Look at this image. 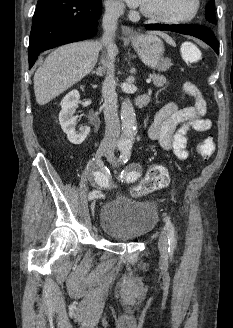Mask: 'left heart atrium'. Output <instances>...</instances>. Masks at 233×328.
I'll use <instances>...</instances> for the list:
<instances>
[{"mask_svg":"<svg viewBox=\"0 0 233 328\" xmlns=\"http://www.w3.org/2000/svg\"><path fill=\"white\" fill-rule=\"evenodd\" d=\"M131 7L142 6L144 0H124Z\"/></svg>","mask_w":233,"mask_h":328,"instance_id":"obj_1","label":"left heart atrium"}]
</instances>
